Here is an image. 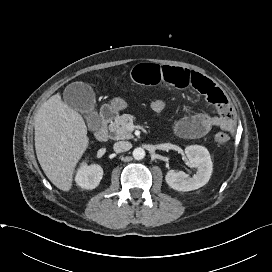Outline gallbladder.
<instances>
[{
	"label": "gallbladder",
	"instance_id": "bac80fb5",
	"mask_svg": "<svg viewBox=\"0 0 272 272\" xmlns=\"http://www.w3.org/2000/svg\"><path fill=\"white\" fill-rule=\"evenodd\" d=\"M63 98L70 108L85 115L90 130L99 129L100 121L95 111V93L88 84L83 82L69 84L63 92Z\"/></svg>",
	"mask_w": 272,
	"mask_h": 272
}]
</instances>
